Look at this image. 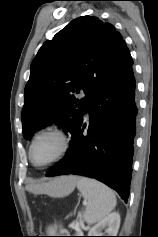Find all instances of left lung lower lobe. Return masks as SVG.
<instances>
[{
	"label": "left lung lower lobe",
	"mask_w": 158,
	"mask_h": 237,
	"mask_svg": "<svg viewBox=\"0 0 158 237\" xmlns=\"http://www.w3.org/2000/svg\"><path fill=\"white\" fill-rule=\"evenodd\" d=\"M86 111L88 122L84 118ZM86 111L71 133L65 157L46 176L76 174L95 178L127 202L138 113L132 66L102 88Z\"/></svg>",
	"instance_id": "left-lung-lower-lobe-1"
}]
</instances>
